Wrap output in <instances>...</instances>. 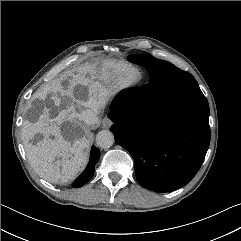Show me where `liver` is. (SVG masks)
<instances>
[{
  "instance_id": "6515ba94",
  "label": "liver",
  "mask_w": 241,
  "mask_h": 241,
  "mask_svg": "<svg viewBox=\"0 0 241 241\" xmlns=\"http://www.w3.org/2000/svg\"><path fill=\"white\" fill-rule=\"evenodd\" d=\"M88 71L93 73V68L72 72L66 86L62 85L63 78L54 80L47 88L51 93L49 98L44 91L34 98L41 101L40 107H34L37 118L23 122V145L28 161L50 183L72 180L87 163L90 141L81 114L85 109L100 111L110 94L100 82L93 80L95 76L85 77ZM78 87L87 88L84 97L76 95ZM96 123L97 118L93 124ZM35 134H42L43 139L33 144L30 141ZM57 157L60 159L56 160Z\"/></svg>"
}]
</instances>
